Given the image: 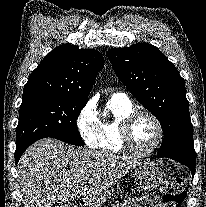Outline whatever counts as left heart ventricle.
<instances>
[{"label": "left heart ventricle", "instance_id": "1", "mask_svg": "<svg viewBox=\"0 0 206 207\" xmlns=\"http://www.w3.org/2000/svg\"><path fill=\"white\" fill-rule=\"evenodd\" d=\"M157 133L154 122L150 118L142 116L131 127L132 144L139 150H147L155 143Z\"/></svg>", "mask_w": 206, "mask_h": 207}]
</instances>
